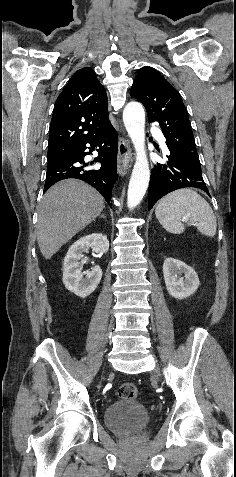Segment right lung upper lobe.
<instances>
[{
	"label": "right lung upper lobe",
	"instance_id": "cb5924a9",
	"mask_svg": "<svg viewBox=\"0 0 236 477\" xmlns=\"http://www.w3.org/2000/svg\"><path fill=\"white\" fill-rule=\"evenodd\" d=\"M109 123L105 89L91 68L78 70L56 100L49 129L48 157H67Z\"/></svg>",
	"mask_w": 236,
	"mask_h": 477
}]
</instances>
